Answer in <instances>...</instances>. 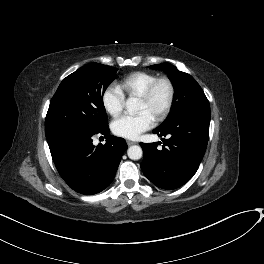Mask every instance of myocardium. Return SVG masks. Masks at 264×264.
I'll return each mask as SVG.
<instances>
[{
  "label": "myocardium",
  "mask_w": 264,
  "mask_h": 264,
  "mask_svg": "<svg viewBox=\"0 0 264 264\" xmlns=\"http://www.w3.org/2000/svg\"><path fill=\"white\" fill-rule=\"evenodd\" d=\"M165 83L168 87V97L167 101L163 107V109L154 117L155 122L163 121L167 115L170 113L174 99H175V86L172 80L168 77H159L155 79L147 89L139 96V99L145 102H149L157 89V87L161 84Z\"/></svg>",
  "instance_id": "obj_1"
}]
</instances>
